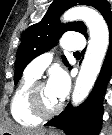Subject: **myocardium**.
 Wrapping results in <instances>:
<instances>
[{"label":"myocardium","mask_w":112,"mask_h":135,"mask_svg":"<svg viewBox=\"0 0 112 135\" xmlns=\"http://www.w3.org/2000/svg\"><path fill=\"white\" fill-rule=\"evenodd\" d=\"M44 81L38 80L36 81L31 88L29 89L27 95V102L30 111L38 118L45 119L55 116L62 109V104L59 103L54 109L46 110L42 107L40 102V88L45 85Z\"/></svg>","instance_id":"obj_1"}]
</instances>
